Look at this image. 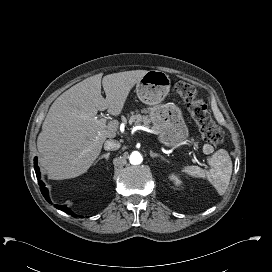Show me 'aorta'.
<instances>
[{
    "instance_id": "1",
    "label": "aorta",
    "mask_w": 272,
    "mask_h": 272,
    "mask_svg": "<svg viewBox=\"0 0 272 272\" xmlns=\"http://www.w3.org/2000/svg\"><path fill=\"white\" fill-rule=\"evenodd\" d=\"M129 161L132 165H139L142 163L143 157L138 151H134L130 154Z\"/></svg>"
}]
</instances>
